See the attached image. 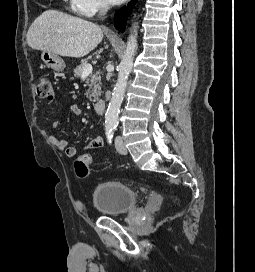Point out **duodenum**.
Returning <instances> with one entry per match:
<instances>
[{
	"mask_svg": "<svg viewBox=\"0 0 255 272\" xmlns=\"http://www.w3.org/2000/svg\"><path fill=\"white\" fill-rule=\"evenodd\" d=\"M106 102L104 99H99L94 103V110L97 114H102L105 110Z\"/></svg>",
	"mask_w": 255,
	"mask_h": 272,
	"instance_id": "1",
	"label": "duodenum"
}]
</instances>
